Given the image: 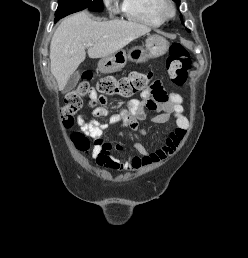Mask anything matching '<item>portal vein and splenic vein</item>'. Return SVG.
Masks as SVG:
<instances>
[{"label":"portal vein and splenic vein","instance_id":"portal-vein-and-splenic-vein-1","mask_svg":"<svg viewBox=\"0 0 248 258\" xmlns=\"http://www.w3.org/2000/svg\"><path fill=\"white\" fill-rule=\"evenodd\" d=\"M92 45H93L92 43H88L86 46L91 47Z\"/></svg>","mask_w":248,"mask_h":258}]
</instances>
